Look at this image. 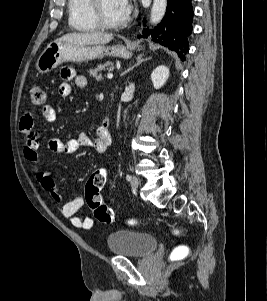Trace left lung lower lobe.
Returning <instances> with one entry per match:
<instances>
[{"label": "left lung lower lobe", "instance_id": "1", "mask_svg": "<svg viewBox=\"0 0 267 301\" xmlns=\"http://www.w3.org/2000/svg\"><path fill=\"white\" fill-rule=\"evenodd\" d=\"M193 7L191 0H167V10L162 21L153 29H144L138 38H149L176 51L184 60L187 36L192 32ZM145 24V21L143 22Z\"/></svg>", "mask_w": 267, "mask_h": 301}]
</instances>
